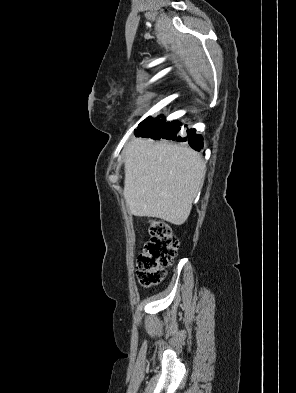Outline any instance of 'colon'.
Segmentation results:
<instances>
[{
	"mask_svg": "<svg viewBox=\"0 0 296 393\" xmlns=\"http://www.w3.org/2000/svg\"><path fill=\"white\" fill-rule=\"evenodd\" d=\"M149 239L144 243L137 259L138 279L142 286L149 288L162 281L165 268L176 256L178 241L171 227L163 220H149Z\"/></svg>",
	"mask_w": 296,
	"mask_h": 393,
	"instance_id": "1",
	"label": "colon"
}]
</instances>
